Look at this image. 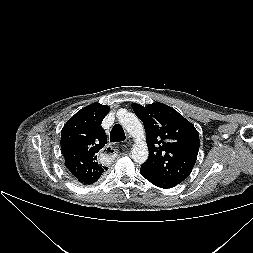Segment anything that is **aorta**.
Wrapping results in <instances>:
<instances>
[{"label": "aorta", "mask_w": 253, "mask_h": 253, "mask_svg": "<svg viewBox=\"0 0 253 253\" xmlns=\"http://www.w3.org/2000/svg\"><path fill=\"white\" fill-rule=\"evenodd\" d=\"M117 117L121 126L135 139L132 148V158L135 162L142 164L148 158V147L145 141V131L142 123L135 114L120 110Z\"/></svg>", "instance_id": "762f6f07"}]
</instances>
